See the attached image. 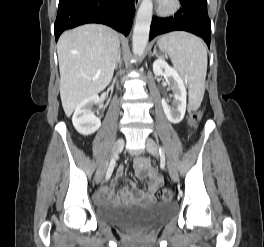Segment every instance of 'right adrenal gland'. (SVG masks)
<instances>
[{
    "label": "right adrenal gland",
    "instance_id": "1",
    "mask_svg": "<svg viewBox=\"0 0 264 247\" xmlns=\"http://www.w3.org/2000/svg\"><path fill=\"white\" fill-rule=\"evenodd\" d=\"M120 56H121V52H120V50H119V52H118V57H117V60H116V63H115V68L117 69V67H118V63L120 62Z\"/></svg>",
    "mask_w": 264,
    "mask_h": 247
}]
</instances>
